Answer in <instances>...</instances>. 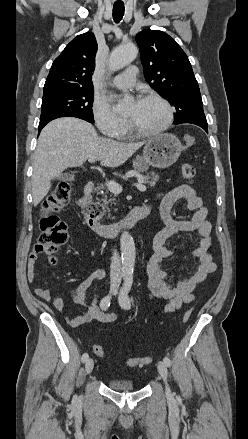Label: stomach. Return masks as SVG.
I'll return each mask as SVG.
<instances>
[{
  "label": "stomach",
  "instance_id": "obj_1",
  "mask_svg": "<svg viewBox=\"0 0 248 439\" xmlns=\"http://www.w3.org/2000/svg\"><path fill=\"white\" fill-rule=\"evenodd\" d=\"M183 146L173 134H161L151 138L143 149V161L157 168H167L177 161Z\"/></svg>",
  "mask_w": 248,
  "mask_h": 439
}]
</instances>
